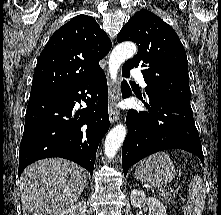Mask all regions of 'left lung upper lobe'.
I'll use <instances>...</instances> for the list:
<instances>
[{
    "label": "left lung upper lobe",
    "instance_id": "1",
    "mask_svg": "<svg viewBox=\"0 0 221 215\" xmlns=\"http://www.w3.org/2000/svg\"><path fill=\"white\" fill-rule=\"evenodd\" d=\"M133 41L138 53L123 68H143L147 95H161L190 103L188 61L175 31L150 11L137 12L121 29L117 41Z\"/></svg>",
    "mask_w": 221,
    "mask_h": 215
}]
</instances>
